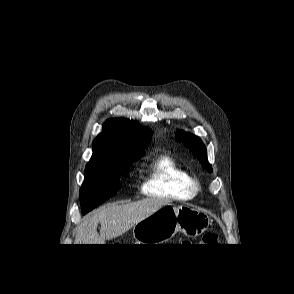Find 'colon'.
<instances>
[{
  "instance_id": "5ec220e1",
  "label": "colon",
  "mask_w": 294,
  "mask_h": 294,
  "mask_svg": "<svg viewBox=\"0 0 294 294\" xmlns=\"http://www.w3.org/2000/svg\"><path fill=\"white\" fill-rule=\"evenodd\" d=\"M217 241V235L215 232H207L202 237V243L205 245L214 244Z\"/></svg>"
}]
</instances>
